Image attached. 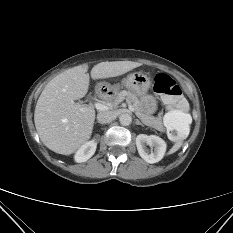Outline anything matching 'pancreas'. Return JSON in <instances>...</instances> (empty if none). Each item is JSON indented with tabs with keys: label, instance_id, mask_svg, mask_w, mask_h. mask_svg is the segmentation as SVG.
Segmentation results:
<instances>
[{
	"label": "pancreas",
	"instance_id": "cf45deb5",
	"mask_svg": "<svg viewBox=\"0 0 233 233\" xmlns=\"http://www.w3.org/2000/svg\"><path fill=\"white\" fill-rule=\"evenodd\" d=\"M124 99L127 101L129 105H131L134 108L135 114L138 116V118L142 120L144 124L152 128H155L160 132L165 131L161 118H155L153 116H149L143 113V111L140 108L139 100L137 99L134 93L122 90L112 98V103L114 105H117L120 101Z\"/></svg>",
	"mask_w": 233,
	"mask_h": 233
}]
</instances>
